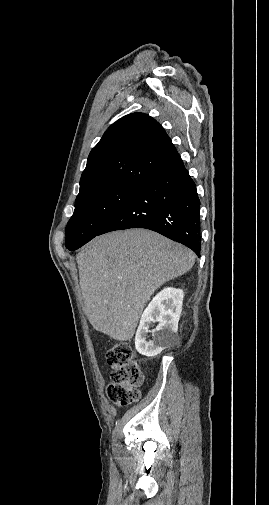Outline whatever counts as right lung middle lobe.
Segmentation results:
<instances>
[{
	"instance_id": "right-lung-middle-lobe-1",
	"label": "right lung middle lobe",
	"mask_w": 269,
	"mask_h": 505,
	"mask_svg": "<svg viewBox=\"0 0 269 505\" xmlns=\"http://www.w3.org/2000/svg\"><path fill=\"white\" fill-rule=\"evenodd\" d=\"M139 187L109 183L79 192L66 227V248L76 250L97 236Z\"/></svg>"
}]
</instances>
